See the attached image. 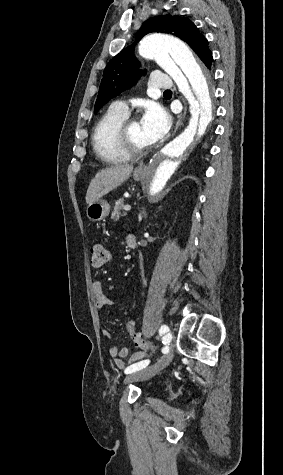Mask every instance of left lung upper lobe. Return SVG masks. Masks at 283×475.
Returning a JSON list of instances; mask_svg holds the SVG:
<instances>
[{
    "label": "left lung upper lobe",
    "mask_w": 283,
    "mask_h": 475,
    "mask_svg": "<svg viewBox=\"0 0 283 475\" xmlns=\"http://www.w3.org/2000/svg\"><path fill=\"white\" fill-rule=\"evenodd\" d=\"M152 32L175 35L188 43L202 61L206 59L207 51H209L208 41L189 19L178 15L150 18L142 25L136 41ZM139 67L140 63L133 54V45L122 50L107 64L103 72L94 113L113 97L136 83L141 74L145 72V70H139Z\"/></svg>",
    "instance_id": "left-lung-upper-lobe-1"
}]
</instances>
